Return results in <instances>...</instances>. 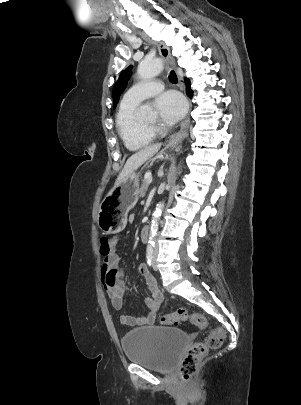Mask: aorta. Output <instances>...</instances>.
I'll list each match as a JSON object with an SVG mask.
<instances>
[{"instance_id":"1","label":"aorta","mask_w":301,"mask_h":405,"mask_svg":"<svg viewBox=\"0 0 301 405\" xmlns=\"http://www.w3.org/2000/svg\"><path fill=\"white\" fill-rule=\"evenodd\" d=\"M163 70V62L160 59H144L142 60L137 69V74L141 79H150L158 75ZM180 168L178 174H180ZM164 209V202H159L152 215L150 225L148 247L152 248L155 244V237L158 231V224Z\"/></svg>"}]
</instances>
